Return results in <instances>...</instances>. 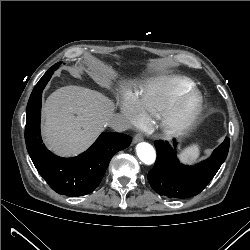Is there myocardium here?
<instances>
[{
    "mask_svg": "<svg viewBox=\"0 0 250 250\" xmlns=\"http://www.w3.org/2000/svg\"><path fill=\"white\" fill-rule=\"evenodd\" d=\"M205 107L202 92L192 86L183 91L161 114L159 128L167 137L179 136L190 130L200 119Z\"/></svg>",
    "mask_w": 250,
    "mask_h": 250,
    "instance_id": "1",
    "label": "myocardium"
}]
</instances>
